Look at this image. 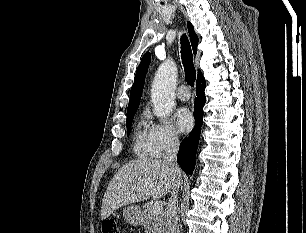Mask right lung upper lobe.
I'll use <instances>...</instances> for the list:
<instances>
[{
    "label": "right lung upper lobe",
    "instance_id": "obj_1",
    "mask_svg": "<svg viewBox=\"0 0 306 233\" xmlns=\"http://www.w3.org/2000/svg\"><path fill=\"white\" fill-rule=\"evenodd\" d=\"M187 26H188V32H189V35H190L193 52H194V54H196L198 37L195 34L194 28H193V26L190 22H188ZM150 60H151L150 53L147 52L143 56V58L141 60V63L137 68L136 75H135V80H134V83H133L131 91H130V101H129V104H128L127 115H130L132 113H136V110L139 106V101L141 99L143 86H144L145 75L147 73L148 66L150 64ZM200 74H201V72L199 71L198 75H200Z\"/></svg>",
    "mask_w": 306,
    "mask_h": 233
}]
</instances>
